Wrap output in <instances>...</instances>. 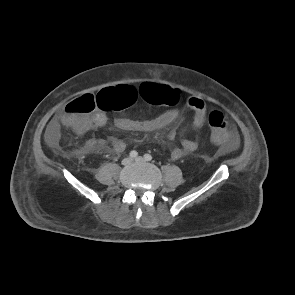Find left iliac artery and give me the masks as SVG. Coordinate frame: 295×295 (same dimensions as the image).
<instances>
[{"label":"left iliac artery","mask_w":295,"mask_h":295,"mask_svg":"<svg viewBox=\"0 0 295 295\" xmlns=\"http://www.w3.org/2000/svg\"><path fill=\"white\" fill-rule=\"evenodd\" d=\"M144 159H145L146 161H151V160H152V156H151L150 154H145V155H144Z\"/></svg>","instance_id":"1"}]
</instances>
